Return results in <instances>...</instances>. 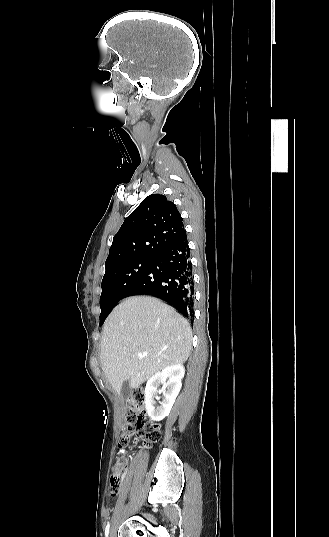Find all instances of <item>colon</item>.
Returning <instances> with one entry per match:
<instances>
[{
    "label": "colon",
    "mask_w": 329,
    "mask_h": 537,
    "mask_svg": "<svg viewBox=\"0 0 329 537\" xmlns=\"http://www.w3.org/2000/svg\"><path fill=\"white\" fill-rule=\"evenodd\" d=\"M126 401L127 413L118 440V449L121 453H125L130 447L133 437L143 440L148 445L157 442L160 438L159 424L152 422L146 414L145 391L141 388L134 390ZM124 475L123 461L120 459L116 463L110 479L109 492L112 496L119 493Z\"/></svg>",
    "instance_id": "5ec220e1"
}]
</instances>
